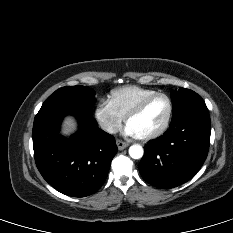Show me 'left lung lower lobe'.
Here are the masks:
<instances>
[{
  "mask_svg": "<svg viewBox=\"0 0 233 233\" xmlns=\"http://www.w3.org/2000/svg\"><path fill=\"white\" fill-rule=\"evenodd\" d=\"M210 132L208 113H191L171 122L164 135L144 147L139 163L143 179L163 189L190 180L207 157Z\"/></svg>",
  "mask_w": 233,
  "mask_h": 233,
  "instance_id": "left-lung-lower-lobe-1",
  "label": "left lung lower lobe"
}]
</instances>
